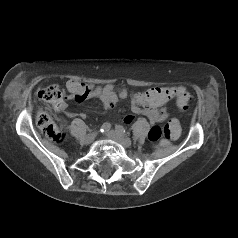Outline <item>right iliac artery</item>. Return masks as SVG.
I'll return each instance as SVG.
<instances>
[{
	"mask_svg": "<svg viewBox=\"0 0 238 238\" xmlns=\"http://www.w3.org/2000/svg\"><path fill=\"white\" fill-rule=\"evenodd\" d=\"M110 128H111V124L106 122L101 126L100 132H102V133L107 132V131H109Z\"/></svg>",
	"mask_w": 238,
	"mask_h": 238,
	"instance_id": "right-iliac-artery-1",
	"label": "right iliac artery"
}]
</instances>
